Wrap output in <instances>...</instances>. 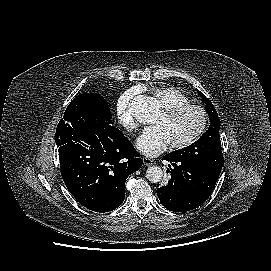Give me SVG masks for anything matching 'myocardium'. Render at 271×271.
<instances>
[{
	"label": "myocardium",
	"mask_w": 271,
	"mask_h": 271,
	"mask_svg": "<svg viewBox=\"0 0 271 271\" xmlns=\"http://www.w3.org/2000/svg\"><path fill=\"white\" fill-rule=\"evenodd\" d=\"M186 110H195L199 113L200 119H201L200 125L197 128V130L192 135L187 137L186 139L179 141V142L171 143V146L174 149H183V148H186V147L192 145L202 136V134L205 132V130L207 128L208 113L204 107H202L201 105H198V104L185 103V104H178V105H173V106H169V107H164L161 109L160 113L164 117L171 118V117H174V116H176Z\"/></svg>",
	"instance_id": "f54148a6"
}]
</instances>
